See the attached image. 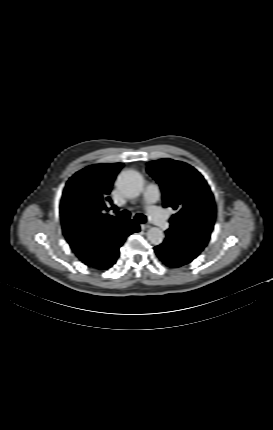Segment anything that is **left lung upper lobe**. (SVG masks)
Returning a JSON list of instances; mask_svg holds the SVG:
<instances>
[{
    "label": "left lung upper lobe",
    "mask_w": 273,
    "mask_h": 430,
    "mask_svg": "<svg viewBox=\"0 0 273 430\" xmlns=\"http://www.w3.org/2000/svg\"><path fill=\"white\" fill-rule=\"evenodd\" d=\"M147 172L161 187L163 206L176 211L166 233L182 253L197 257L209 242L216 216L207 182L192 166L172 159L149 162Z\"/></svg>",
    "instance_id": "5c2ea615"
}]
</instances>
